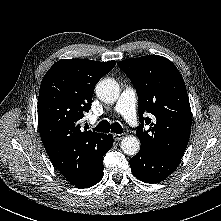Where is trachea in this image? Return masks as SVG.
<instances>
[{
  "instance_id": "1",
  "label": "trachea",
  "mask_w": 221,
  "mask_h": 221,
  "mask_svg": "<svg viewBox=\"0 0 221 221\" xmlns=\"http://www.w3.org/2000/svg\"><path fill=\"white\" fill-rule=\"evenodd\" d=\"M95 131L108 133L110 130L114 133L121 134L123 129L117 122L110 124L107 120H102L95 128Z\"/></svg>"
}]
</instances>
